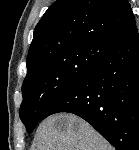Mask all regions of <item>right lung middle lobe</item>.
I'll return each instance as SVG.
<instances>
[{
  "label": "right lung middle lobe",
  "mask_w": 139,
  "mask_h": 150,
  "mask_svg": "<svg viewBox=\"0 0 139 150\" xmlns=\"http://www.w3.org/2000/svg\"><path fill=\"white\" fill-rule=\"evenodd\" d=\"M110 45H97L57 53L28 72L22 85L20 118L31 133L48 107L82 79Z\"/></svg>",
  "instance_id": "dd1d6c3e"
}]
</instances>
